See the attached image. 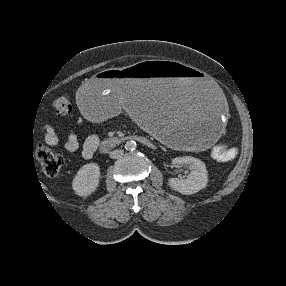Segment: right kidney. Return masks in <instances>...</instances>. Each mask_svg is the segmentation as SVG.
<instances>
[{"label":"right kidney","instance_id":"1","mask_svg":"<svg viewBox=\"0 0 286 286\" xmlns=\"http://www.w3.org/2000/svg\"><path fill=\"white\" fill-rule=\"evenodd\" d=\"M100 178V167L96 163H88L82 166L72 182V188L79 196H88L93 193Z\"/></svg>","mask_w":286,"mask_h":286}]
</instances>
